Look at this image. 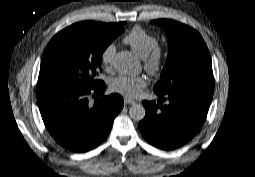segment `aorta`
I'll list each match as a JSON object with an SVG mask.
<instances>
[{
    "mask_svg": "<svg viewBox=\"0 0 255 177\" xmlns=\"http://www.w3.org/2000/svg\"><path fill=\"white\" fill-rule=\"evenodd\" d=\"M115 68L125 74H138L140 65L131 52L121 51L115 56ZM145 108L141 104H133L129 109V115L134 121H141L145 117Z\"/></svg>",
    "mask_w": 255,
    "mask_h": 177,
    "instance_id": "1",
    "label": "aorta"
}]
</instances>
